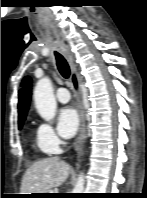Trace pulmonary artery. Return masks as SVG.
<instances>
[{"label":"pulmonary artery","mask_w":147,"mask_h":198,"mask_svg":"<svg viewBox=\"0 0 147 198\" xmlns=\"http://www.w3.org/2000/svg\"><path fill=\"white\" fill-rule=\"evenodd\" d=\"M56 98L60 103H67L71 97L69 91L66 88L60 87L56 91Z\"/></svg>","instance_id":"pulmonary-artery-1"}]
</instances>
